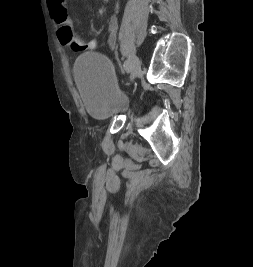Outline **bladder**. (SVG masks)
Masks as SVG:
<instances>
[{
	"mask_svg": "<svg viewBox=\"0 0 253 267\" xmlns=\"http://www.w3.org/2000/svg\"><path fill=\"white\" fill-rule=\"evenodd\" d=\"M74 79L89 116L109 120L128 105L120 90L110 60L102 54H81L73 68Z\"/></svg>",
	"mask_w": 253,
	"mask_h": 267,
	"instance_id": "obj_1",
	"label": "bladder"
}]
</instances>
